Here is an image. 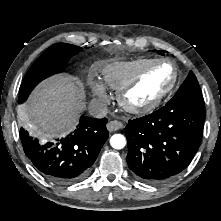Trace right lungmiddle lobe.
<instances>
[{
  "mask_svg": "<svg viewBox=\"0 0 221 221\" xmlns=\"http://www.w3.org/2000/svg\"><path fill=\"white\" fill-rule=\"evenodd\" d=\"M81 50V47L66 43L50 46L27 72L20 86L18 103H23L39 82L53 74L62 72L69 58Z\"/></svg>",
  "mask_w": 221,
  "mask_h": 221,
  "instance_id": "right-lung-middle-lobe-1",
  "label": "right lung middle lobe"
}]
</instances>
